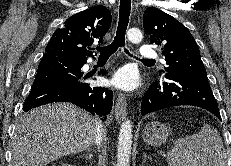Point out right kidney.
Wrapping results in <instances>:
<instances>
[{
    "label": "right kidney",
    "instance_id": "right-kidney-1",
    "mask_svg": "<svg viewBox=\"0 0 231 166\" xmlns=\"http://www.w3.org/2000/svg\"><path fill=\"white\" fill-rule=\"evenodd\" d=\"M61 166H74V165H71V164H62Z\"/></svg>",
    "mask_w": 231,
    "mask_h": 166
}]
</instances>
